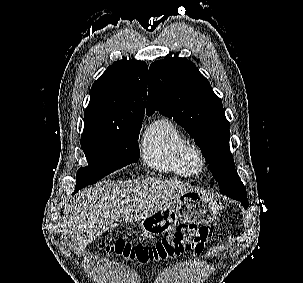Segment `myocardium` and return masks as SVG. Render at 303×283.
Wrapping results in <instances>:
<instances>
[{"instance_id": "f54148a6", "label": "myocardium", "mask_w": 303, "mask_h": 283, "mask_svg": "<svg viewBox=\"0 0 303 283\" xmlns=\"http://www.w3.org/2000/svg\"><path fill=\"white\" fill-rule=\"evenodd\" d=\"M185 162L191 175H200L205 169V158L201 149L189 145L185 152Z\"/></svg>"}]
</instances>
